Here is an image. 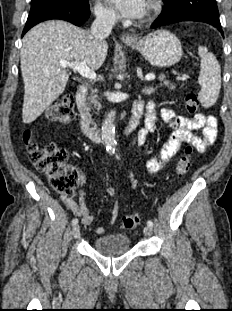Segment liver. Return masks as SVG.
Segmentation results:
<instances>
[{
	"label": "liver",
	"instance_id": "1",
	"mask_svg": "<svg viewBox=\"0 0 232 311\" xmlns=\"http://www.w3.org/2000/svg\"><path fill=\"white\" fill-rule=\"evenodd\" d=\"M107 52L106 41L65 21H48L32 28L21 49L23 122L36 120L65 90L69 75L60 61H82L97 70Z\"/></svg>",
	"mask_w": 232,
	"mask_h": 311
}]
</instances>
